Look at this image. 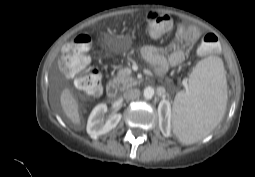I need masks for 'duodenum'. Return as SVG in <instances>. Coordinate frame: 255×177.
<instances>
[{
	"label": "duodenum",
	"mask_w": 255,
	"mask_h": 177,
	"mask_svg": "<svg viewBox=\"0 0 255 177\" xmlns=\"http://www.w3.org/2000/svg\"><path fill=\"white\" fill-rule=\"evenodd\" d=\"M106 92L111 99H115L117 95L116 85L113 82L109 81L106 85Z\"/></svg>",
	"instance_id": "duodenum-1"
}]
</instances>
